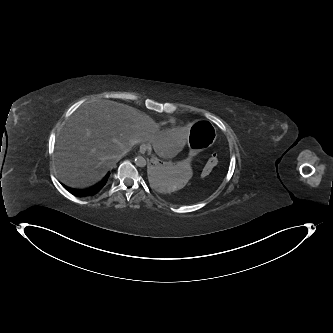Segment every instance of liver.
Listing matches in <instances>:
<instances>
[{"label": "liver", "instance_id": "1", "mask_svg": "<svg viewBox=\"0 0 333 333\" xmlns=\"http://www.w3.org/2000/svg\"><path fill=\"white\" fill-rule=\"evenodd\" d=\"M190 141L181 129L158 132L154 120L139 110L110 100L82 105L67 120L55 146L54 168L72 188H86L100 181L122 157L141 142L171 159Z\"/></svg>", "mask_w": 333, "mask_h": 333}]
</instances>
